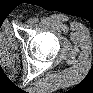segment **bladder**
<instances>
[{
    "label": "bladder",
    "instance_id": "obj_1",
    "mask_svg": "<svg viewBox=\"0 0 93 93\" xmlns=\"http://www.w3.org/2000/svg\"><path fill=\"white\" fill-rule=\"evenodd\" d=\"M1 41L4 43H11L13 41L11 30L8 27H3L1 30Z\"/></svg>",
    "mask_w": 93,
    "mask_h": 93
}]
</instances>
